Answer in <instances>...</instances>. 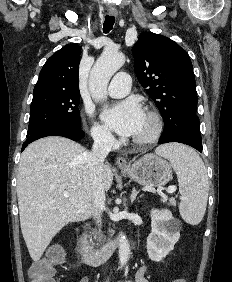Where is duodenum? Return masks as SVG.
Masks as SVG:
<instances>
[{
  "mask_svg": "<svg viewBox=\"0 0 232 282\" xmlns=\"http://www.w3.org/2000/svg\"><path fill=\"white\" fill-rule=\"evenodd\" d=\"M120 244L119 239H114L100 248H95L84 235L80 236L79 249L83 261L90 266H99L106 262Z\"/></svg>",
  "mask_w": 232,
  "mask_h": 282,
  "instance_id": "1",
  "label": "duodenum"
}]
</instances>
